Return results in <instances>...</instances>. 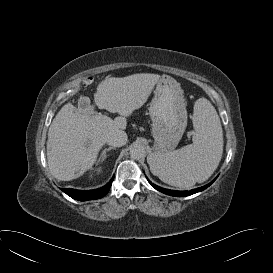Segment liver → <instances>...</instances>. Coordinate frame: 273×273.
Returning <instances> with one entry per match:
<instances>
[{"mask_svg":"<svg viewBox=\"0 0 273 273\" xmlns=\"http://www.w3.org/2000/svg\"><path fill=\"white\" fill-rule=\"evenodd\" d=\"M160 78L157 74L138 73L101 81L94 101L98 108L118 113L120 116L114 120L96 114L91 105L76 108L65 104L48 130L50 173L58 180L70 181L91 169L109 133L126 128V117L144 105Z\"/></svg>","mask_w":273,"mask_h":273,"instance_id":"obj_1","label":"liver"}]
</instances>
